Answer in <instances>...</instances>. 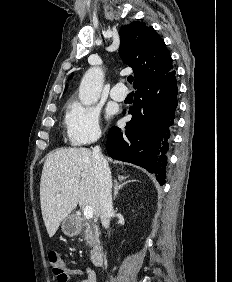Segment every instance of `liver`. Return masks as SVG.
<instances>
[{
	"mask_svg": "<svg viewBox=\"0 0 232 282\" xmlns=\"http://www.w3.org/2000/svg\"><path fill=\"white\" fill-rule=\"evenodd\" d=\"M40 203L49 237L76 208L91 206L100 214L99 185L92 152L86 148H65L50 153L43 166Z\"/></svg>",
	"mask_w": 232,
	"mask_h": 282,
	"instance_id": "liver-1",
	"label": "liver"
}]
</instances>
